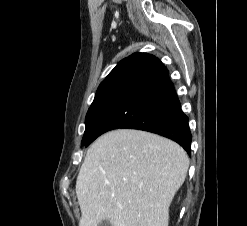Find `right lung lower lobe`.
Here are the masks:
<instances>
[{"mask_svg": "<svg viewBox=\"0 0 247 226\" xmlns=\"http://www.w3.org/2000/svg\"><path fill=\"white\" fill-rule=\"evenodd\" d=\"M117 128L159 134L174 140L190 154L192 135L188 118L181 110L167 68L150 54L135 53L127 58L84 146Z\"/></svg>", "mask_w": 247, "mask_h": 226, "instance_id": "98d812e1", "label": "right lung lower lobe"}]
</instances>
